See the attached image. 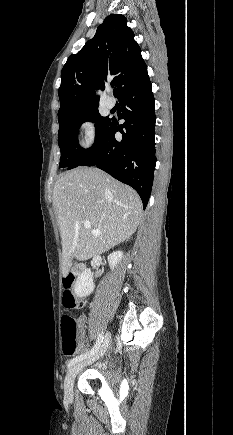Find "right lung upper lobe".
Segmentation results:
<instances>
[{"mask_svg": "<svg viewBox=\"0 0 233 435\" xmlns=\"http://www.w3.org/2000/svg\"><path fill=\"white\" fill-rule=\"evenodd\" d=\"M134 32L121 14H111L98 26L84 47L69 56L61 72L58 118L82 114L98 107L95 90L114 76L118 97L128 83L147 73Z\"/></svg>", "mask_w": 233, "mask_h": 435, "instance_id": "right-lung-upper-lobe-1", "label": "right lung upper lobe"}]
</instances>
